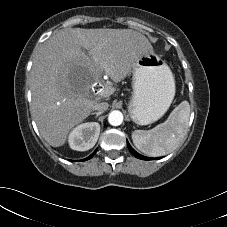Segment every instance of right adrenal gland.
Returning <instances> with one entry per match:
<instances>
[{"label":"right adrenal gland","mask_w":227,"mask_h":227,"mask_svg":"<svg viewBox=\"0 0 227 227\" xmlns=\"http://www.w3.org/2000/svg\"><path fill=\"white\" fill-rule=\"evenodd\" d=\"M101 114H102V112H93V113H91V115H95V118L98 117Z\"/></svg>","instance_id":"2a0ac1e0"}]
</instances>
